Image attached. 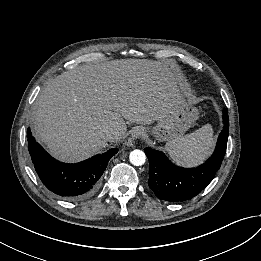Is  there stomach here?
<instances>
[{
  "instance_id": "0dacf381",
  "label": "stomach",
  "mask_w": 261,
  "mask_h": 261,
  "mask_svg": "<svg viewBox=\"0 0 261 261\" xmlns=\"http://www.w3.org/2000/svg\"><path fill=\"white\" fill-rule=\"evenodd\" d=\"M197 119L198 110L185 102L159 120L149 132L158 141H171L182 137Z\"/></svg>"
}]
</instances>
